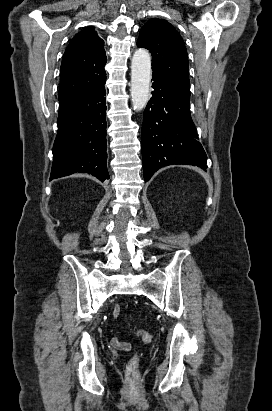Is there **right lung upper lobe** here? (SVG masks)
Segmentation results:
<instances>
[{
    "instance_id": "right-lung-upper-lobe-1",
    "label": "right lung upper lobe",
    "mask_w": 272,
    "mask_h": 411,
    "mask_svg": "<svg viewBox=\"0 0 272 411\" xmlns=\"http://www.w3.org/2000/svg\"><path fill=\"white\" fill-rule=\"evenodd\" d=\"M104 42L88 28L70 41L61 64L59 101L75 97L99 86L106 79Z\"/></svg>"
}]
</instances>
